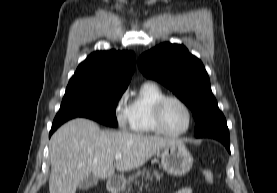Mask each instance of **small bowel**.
<instances>
[{
	"label": "small bowel",
	"instance_id": "small-bowel-1",
	"mask_svg": "<svg viewBox=\"0 0 277 193\" xmlns=\"http://www.w3.org/2000/svg\"><path fill=\"white\" fill-rule=\"evenodd\" d=\"M175 193H193V189L191 187H183L177 190Z\"/></svg>",
	"mask_w": 277,
	"mask_h": 193
}]
</instances>
